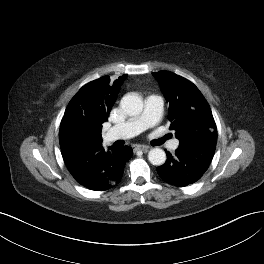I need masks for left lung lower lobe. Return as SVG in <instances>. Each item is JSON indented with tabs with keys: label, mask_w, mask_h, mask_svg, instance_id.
<instances>
[{
	"label": "left lung lower lobe",
	"mask_w": 264,
	"mask_h": 264,
	"mask_svg": "<svg viewBox=\"0 0 264 264\" xmlns=\"http://www.w3.org/2000/svg\"><path fill=\"white\" fill-rule=\"evenodd\" d=\"M166 162L157 168L160 177L167 183L185 187L198 181L208 169L213 155L204 152L185 151L180 148L174 156L166 151Z\"/></svg>",
	"instance_id": "0a47b994"
}]
</instances>
